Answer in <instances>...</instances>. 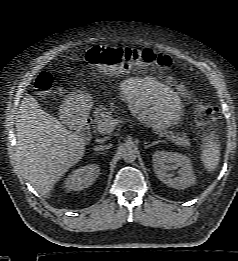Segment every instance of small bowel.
<instances>
[{
	"instance_id": "obj_1",
	"label": "small bowel",
	"mask_w": 238,
	"mask_h": 261,
	"mask_svg": "<svg viewBox=\"0 0 238 261\" xmlns=\"http://www.w3.org/2000/svg\"><path fill=\"white\" fill-rule=\"evenodd\" d=\"M118 91L138 118L156 128L177 124L187 97L186 90L171 79L160 82L149 76L127 78Z\"/></svg>"
}]
</instances>
